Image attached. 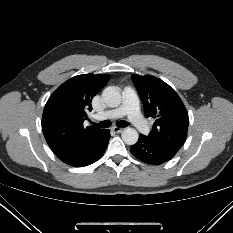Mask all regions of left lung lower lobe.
Here are the masks:
<instances>
[{"mask_svg": "<svg viewBox=\"0 0 233 233\" xmlns=\"http://www.w3.org/2000/svg\"><path fill=\"white\" fill-rule=\"evenodd\" d=\"M131 153L141 161L158 165L169 161L176 152L152 144L144 135L139 136L136 144L130 147Z\"/></svg>", "mask_w": 233, "mask_h": 233, "instance_id": "left-lung-lower-lobe-1", "label": "left lung lower lobe"}]
</instances>
